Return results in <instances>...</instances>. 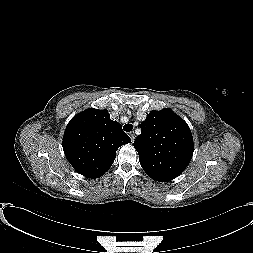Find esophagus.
Masks as SVG:
<instances>
[{"label":"esophagus","instance_id":"obj_1","mask_svg":"<svg viewBox=\"0 0 253 253\" xmlns=\"http://www.w3.org/2000/svg\"><path fill=\"white\" fill-rule=\"evenodd\" d=\"M129 137L131 138V141L134 142V140H135V133L134 132H130L129 133Z\"/></svg>","mask_w":253,"mask_h":253}]
</instances>
